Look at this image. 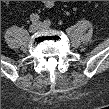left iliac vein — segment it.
<instances>
[{
  "label": "left iliac vein",
  "mask_w": 109,
  "mask_h": 109,
  "mask_svg": "<svg viewBox=\"0 0 109 109\" xmlns=\"http://www.w3.org/2000/svg\"><path fill=\"white\" fill-rule=\"evenodd\" d=\"M39 27L41 29H48L50 26L48 24H46L45 22H39L38 23Z\"/></svg>",
  "instance_id": "obj_1"
}]
</instances>
